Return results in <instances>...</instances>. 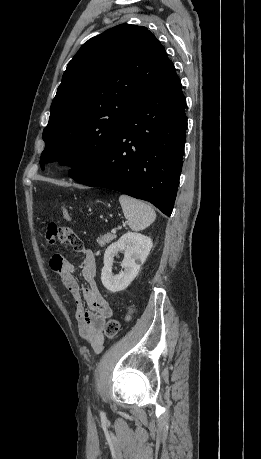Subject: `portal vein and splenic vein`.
<instances>
[{
    "instance_id": "1",
    "label": "portal vein and splenic vein",
    "mask_w": 261,
    "mask_h": 459,
    "mask_svg": "<svg viewBox=\"0 0 261 459\" xmlns=\"http://www.w3.org/2000/svg\"><path fill=\"white\" fill-rule=\"evenodd\" d=\"M111 232H112L113 234H115V233H116V229H112Z\"/></svg>"
}]
</instances>
